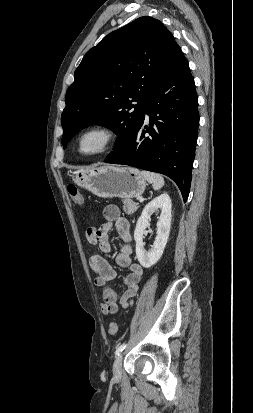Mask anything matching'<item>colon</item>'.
<instances>
[{
	"mask_svg": "<svg viewBox=\"0 0 253 413\" xmlns=\"http://www.w3.org/2000/svg\"><path fill=\"white\" fill-rule=\"evenodd\" d=\"M67 191H68L69 197H70V199H71V201L74 205H76V206L82 205L83 197H82L81 193L79 192L78 188L75 185H73V184L68 185ZM117 332H118V325H117V323L112 322L109 325L108 333L110 335H115Z\"/></svg>",
	"mask_w": 253,
	"mask_h": 413,
	"instance_id": "colon-1",
	"label": "colon"
}]
</instances>
